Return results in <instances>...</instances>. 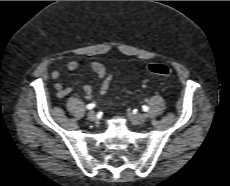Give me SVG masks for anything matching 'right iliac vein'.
Wrapping results in <instances>:
<instances>
[{"label":"right iliac vein","mask_w":230,"mask_h":186,"mask_svg":"<svg viewBox=\"0 0 230 186\" xmlns=\"http://www.w3.org/2000/svg\"><path fill=\"white\" fill-rule=\"evenodd\" d=\"M87 118L89 121H95L96 120V113L94 111H90L87 114Z\"/></svg>","instance_id":"1"}]
</instances>
